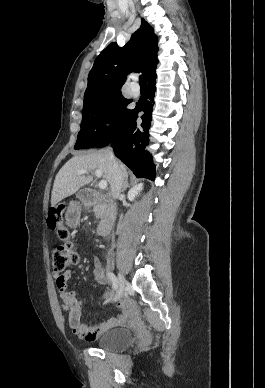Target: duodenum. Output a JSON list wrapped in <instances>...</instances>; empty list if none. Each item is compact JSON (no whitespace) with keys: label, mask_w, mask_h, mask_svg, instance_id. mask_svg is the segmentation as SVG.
Masks as SVG:
<instances>
[{"label":"duodenum","mask_w":265,"mask_h":388,"mask_svg":"<svg viewBox=\"0 0 265 388\" xmlns=\"http://www.w3.org/2000/svg\"><path fill=\"white\" fill-rule=\"evenodd\" d=\"M79 198L84 205H101L104 207L97 232L101 236L106 235L113 227L117 214L116 206L111 195L100 193L93 189H85L80 193Z\"/></svg>","instance_id":"1"}]
</instances>
